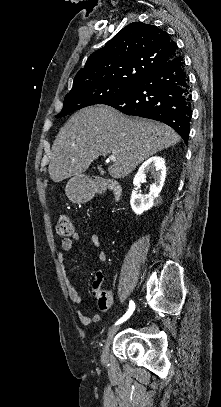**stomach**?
<instances>
[{
  "label": "stomach",
  "instance_id": "1",
  "mask_svg": "<svg viewBox=\"0 0 221 407\" xmlns=\"http://www.w3.org/2000/svg\"><path fill=\"white\" fill-rule=\"evenodd\" d=\"M66 195L73 203H84L92 198L93 191L83 176H74L66 184Z\"/></svg>",
  "mask_w": 221,
  "mask_h": 407
}]
</instances>
